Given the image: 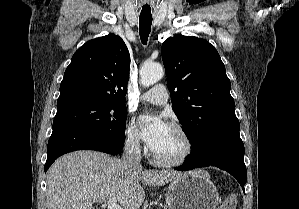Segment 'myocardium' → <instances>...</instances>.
Here are the masks:
<instances>
[{
  "instance_id": "1",
  "label": "myocardium",
  "mask_w": 299,
  "mask_h": 209,
  "mask_svg": "<svg viewBox=\"0 0 299 209\" xmlns=\"http://www.w3.org/2000/svg\"><path fill=\"white\" fill-rule=\"evenodd\" d=\"M170 128H172L174 131H176L181 136V138L184 141L185 147L179 156H177L175 158H171V159L161 158L158 155H156L151 149L150 157H151L152 161L154 163H156L157 165L163 166V167H173V166H178V165L184 164L191 157V155L194 151L193 139H192L191 135L189 134V132L182 125H180L178 123H172L170 125Z\"/></svg>"
}]
</instances>
